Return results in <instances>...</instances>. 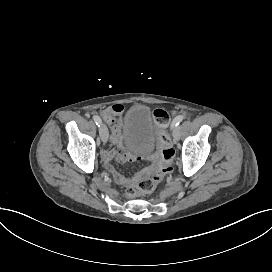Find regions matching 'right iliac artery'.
I'll return each mask as SVG.
<instances>
[{
    "label": "right iliac artery",
    "instance_id": "obj_1",
    "mask_svg": "<svg viewBox=\"0 0 272 272\" xmlns=\"http://www.w3.org/2000/svg\"><path fill=\"white\" fill-rule=\"evenodd\" d=\"M93 119L98 127L102 124V120L100 119V117L94 116Z\"/></svg>",
    "mask_w": 272,
    "mask_h": 272
}]
</instances>
